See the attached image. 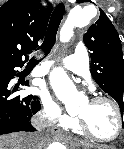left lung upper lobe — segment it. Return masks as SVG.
<instances>
[{"label":"left lung upper lobe","instance_id":"left-lung-upper-lobe-1","mask_svg":"<svg viewBox=\"0 0 124 149\" xmlns=\"http://www.w3.org/2000/svg\"><path fill=\"white\" fill-rule=\"evenodd\" d=\"M82 2V0H78ZM91 51V74L96 83L113 97L123 113L124 60L119 35L100 10V17L83 37Z\"/></svg>","mask_w":124,"mask_h":149}]
</instances>
